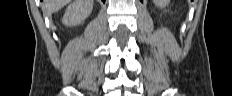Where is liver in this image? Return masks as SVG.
Instances as JSON below:
<instances>
[{
    "label": "liver",
    "instance_id": "6515ba94",
    "mask_svg": "<svg viewBox=\"0 0 232 96\" xmlns=\"http://www.w3.org/2000/svg\"><path fill=\"white\" fill-rule=\"evenodd\" d=\"M71 0H44L42 9L51 14L59 11L62 7L70 3Z\"/></svg>",
    "mask_w": 232,
    "mask_h": 96
}]
</instances>
